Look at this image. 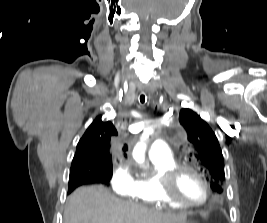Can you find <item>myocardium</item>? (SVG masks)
I'll list each match as a JSON object with an SVG mask.
<instances>
[{
	"label": "myocardium",
	"instance_id": "1",
	"mask_svg": "<svg viewBox=\"0 0 267 223\" xmlns=\"http://www.w3.org/2000/svg\"><path fill=\"white\" fill-rule=\"evenodd\" d=\"M184 171H190L196 174L205 187V196L202 201L193 202L188 201L178 195L175 189L176 181L180 174ZM159 186L163 198L167 202H171L177 205H181L188 208H198L207 203L211 195L210 184L206 176L195 166L187 163H177L164 171L159 177Z\"/></svg>",
	"mask_w": 267,
	"mask_h": 223
}]
</instances>
